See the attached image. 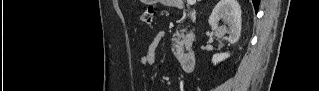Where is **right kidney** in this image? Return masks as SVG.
<instances>
[{
  "mask_svg": "<svg viewBox=\"0 0 319 91\" xmlns=\"http://www.w3.org/2000/svg\"><path fill=\"white\" fill-rule=\"evenodd\" d=\"M222 19L225 25L219 26V20ZM209 25L215 31L216 36L223 37L228 34L227 40L234 44L238 41L241 32V7L237 0H220L214 7L209 17ZM230 56L229 53L213 55L212 62L217 64Z\"/></svg>",
  "mask_w": 319,
  "mask_h": 91,
  "instance_id": "obj_1",
  "label": "right kidney"
}]
</instances>
